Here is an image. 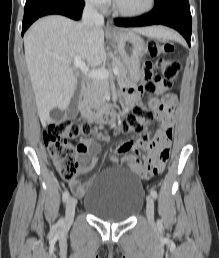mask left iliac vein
I'll return each instance as SVG.
<instances>
[{
  "instance_id": "left-iliac-vein-1",
  "label": "left iliac vein",
  "mask_w": 219,
  "mask_h": 258,
  "mask_svg": "<svg viewBox=\"0 0 219 258\" xmlns=\"http://www.w3.org/2000/svg\"><path fill=\"white\" fill-rule=\"evenodd\" d=\"M146 216L150 224L154 223V201L151 196L146 198Z\"/></svg>"
}]
</instances>
